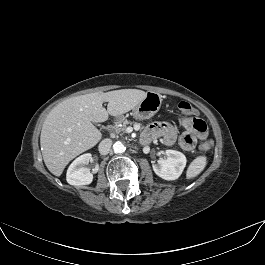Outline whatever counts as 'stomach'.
<instances>
[{
	"mask_svg": "<svg viewBox=\"0 0 265 265\" xmlns=\"http://www.w3.org/2000/svg\"><path fill=\"white\" fill-rule=\"evenodd\" d=\"M162 96L156 92H148L146 97L133 109L135 119L144 120L154 116L161 107Z\"/></svg>",
	"mask_w": 265,
	"mask_h": 265,
	"instance_id": "stomach-1",
	"label": "stomach"
}]
</instances>
